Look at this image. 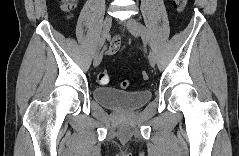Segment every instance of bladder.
Here are the masks:
<instances>
[{"label":"bladder","instance_id":"obj_1","mask_svg":"<svg viewBox=\"0 0 239 156\" xmlns=\"http://www.w3.org/2000/svg\"><path fill=\"white\" fill-rule=\"evenodd\" d=\"M93 96L97 103L116 110L134 111L151 100V91L141 89L133 92L121 91L113 87H96Z\"/></svg>","mask_w":239,"mask_h":156}]
</instances>
